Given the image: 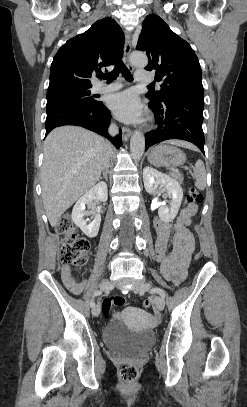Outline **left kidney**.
I'll return each mask as SVG.
<instances>
[{
  "mask_svg": "<svg viewBox=\"0 0 247 407\" xmlns=\"http://www.w3.org/2000/svg\"><path fill=\"white\" fill-rule=\"evenodd\" d=\"M143 182L145 190L155 195L158 186L164 187L171 199L169 206H159L158 215L163 222H172L178 214L183 199L181 185L170 176L163 174L151 167L143 170Z\"/></svg>",
  "mask_w": 247,
  "mask_h": 407,
  "instance_id": "1",
  "label": "left kidney"
}]
</instances>
